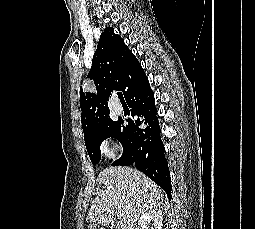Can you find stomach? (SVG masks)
Returning <instances> with one entry per match:
<instances>
[{
  "label": "stomach",
  "mask_w": 255,
  "mask_h": 229,
  "mask_svg": "<svg viewBox=\"0 0 255 229\" xmlns=\"http://www.w3.org/2000/svg\"><path fill=\"white\" fill-rule=\"evenodd\" d=\"M91 229H96V227L95 226H93V227L91 226Z\"/></svg>",
  "instance_id": "0dacf381"
}]
</instances>
